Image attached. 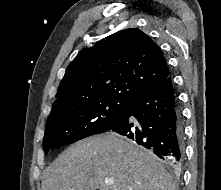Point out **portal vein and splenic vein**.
Masks as SVG:
<instances>
[{
  "mask_svg": "<svg viewBox=\"0 0 221 190\" xmlns=\"http://www.w3.org/2000/svg\"><path fill=\"white\" fill-rule=\"evenodd\" d=\"M105 182H106L107 184H114V179L109 178V179H106Z\"/></svg>",
  "mask_w": 221,
  "mask_h": 190,
  "instance_id": "portal-vein-and-splenic-vein-1",
  "label": "portal vein and splenic vein"
}]
</instances>
